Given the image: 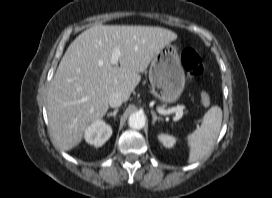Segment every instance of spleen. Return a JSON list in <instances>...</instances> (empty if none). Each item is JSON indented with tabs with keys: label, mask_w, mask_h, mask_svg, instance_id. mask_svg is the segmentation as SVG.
Instances as JSON below:
<instances>
[{
	"label": "spleen",
	"mask_w": 272,
	"mask_h": 198,
	"mask_svg": "<svg viewBox=\"0 0 272 198\" xmlns=\"http://www.w3.org/2000/svg\"><path fill=\"white\" fill-rule=\"evenodd\" d=\"M222 123V110L212 106L203 116L202 124L192 134L187 136L189 150L188 162L202 159L214 146Z\"/></svg>",
	"instance_id": "3e777b00"
}]
</instances>
